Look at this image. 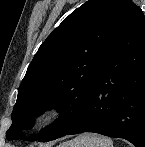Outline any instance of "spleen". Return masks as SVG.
Returning <instances> with one entry per match:
<instances>
[{"instance_id":"obj_1","label":"spleen","mask_w":145,"mask_h":147,"mask_svg":"<svg viewBox=\"0 0 145 147\" xmlns=\"http://www.w3.org/2000/svg\"><path fill=\"white\" fill-rule=\"evenodd\" d=\"M66 147H113V142L105 136L85 133L69 141Z\"/></svg>"}]
</instances>
